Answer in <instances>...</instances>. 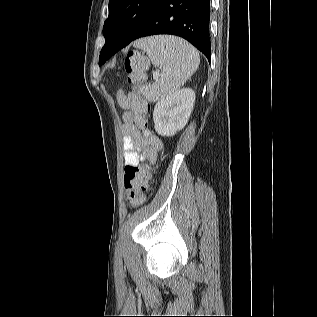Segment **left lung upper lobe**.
Returning a JSON list of instances; mask_svg holds the SVG:
<instances>
[{"label":"left lung upper lobe","instance_id":"obj_1","mask_svg":"<svg viewBox=\"0 0 317 317\" xmlns=\"http://www.w3.org/2000/svg\"><path fill=\"white\" fill-rule=\"evenodd\" d=\"M163 0H110L109 16L104 23L103 34L115 44L130 43ZM102 48L99 65L106 60Z\"/></svg>","mask_w":317,"mask_h":317}]
</instances>
